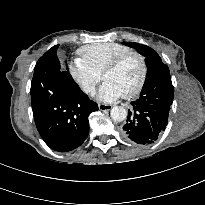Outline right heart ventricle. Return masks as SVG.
<instances>
[{"instance_id": "obj_1", "label": "right heart ventricle", "mask_w": 205, "mask_h": 205, "mask_svg": "<svg viewBox=\"0 0 205 205\" xmlns=\"http://www.w3.org/2000/svg\"><path fill=\"white\" fill-rule=\"evenodd\" d=\"M130 51V48L114 42L88 44L78 51L80 59L101 75L105 66L118 55Z\"/></svg>"}]
</instances>
